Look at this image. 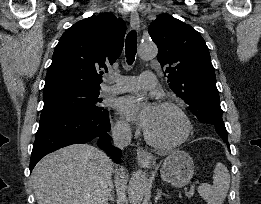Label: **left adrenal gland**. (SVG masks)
<instances>
[{
    "instance_id": "obj_1",
    "label": "left adrenal gland",
    "mask_w": 261,
    "mask_h": 204,
    "mask_svg": "<svg viewBox=\"0 0 261 204\" xmlns=\"http://www.w3.org/2000/svg\"><path fill=\"white\" fill-rule=\"evenodd\" d=\"M163 195L166 196V194L163 193L161 189H158L157 190V195L155 197V202H157Z\"/></svg>"
}]
</instances>
